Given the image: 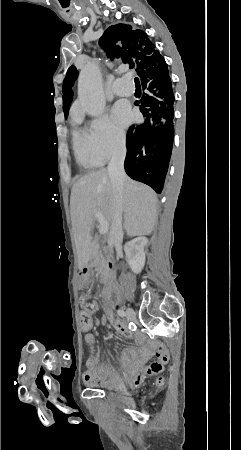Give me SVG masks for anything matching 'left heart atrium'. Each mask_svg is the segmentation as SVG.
<instances>
[{"label": "left heart atrium", "mask_w": 241, "mask_h": 450, "mask_svg": "<svg viewBox=\"0 0 241 450\" xmlns=\"http://www.w3.org/2000/svg\"><path fill=\"white\" fill-rule=\"evenodd\" d=\"M112 117L119 126L126 127L131 121L129 107L122 102L116 103L112 109Z\"/></svg>", "instance_id": "1"}]
</instances>
